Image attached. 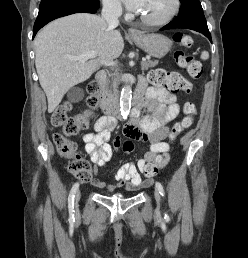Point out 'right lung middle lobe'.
<instances>
[{
    "mask_svg": "<svg viewBox=\"0 0 248 258\" xmlns=\"http://www.w3.org/2000/svg\"><path fill=\"white\" fill-rule=\"evenodd\" d=\"M72 0H42L39 6V9L45 8L47 6H50L52 4L60 3V2H68Z\"/></svg>",
    "mask_w": 248,
    "mask_h": 258,
    "instance_id": "right-lung-middle-lobe-1",
    "label": "right lung middle lobe"
}]
</instances>
